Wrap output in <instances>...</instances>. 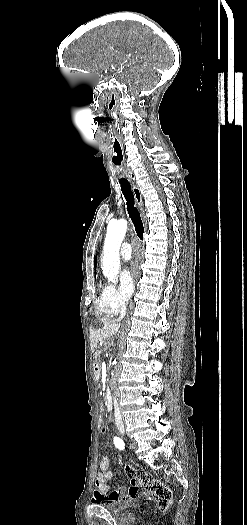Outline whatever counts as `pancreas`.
I'll list each match as a JSON object with an SVG mask.
<instances>
[{
	"instance_id": "obj_1",
	"label": "pancreas",
	"mask_w": 247,
	"mask_h": 525,
	"mask_svg": "<svg viewBox=\"0 0 247 525\" xmlns=\"http://www.w3.org/2000/svg\"><path fill=\"white\" fill-rule=\"evenodd\" d=\"M94 360H95V361H98V360H99V355H98V352H95V355H94Z\"/></svg>"
}]
</instances>
